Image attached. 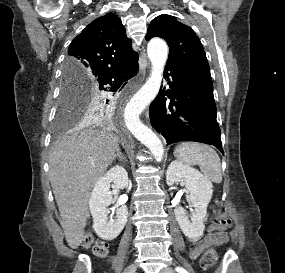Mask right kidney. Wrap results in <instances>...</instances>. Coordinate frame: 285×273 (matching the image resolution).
I'll list each match as a JSON object with an SVG mask.
<instances>
[{
	"mask_svg": "<svg viewBox=\"0 0 285 273\" xmlns=\"http://www.w3.org/2000/svg\"><path fill=\"white\" fill-rule=\"evenodd\" d=\"M111 182L120 189L127 187L128 174L126 170L121 166L111 168L97 180L89 199L93 229L100 238L105 240L115 239L124 229L128 217V209L125 205L116 208L114 219L108 217L107 207L115 202L109 191Z\"/></svg>",
	"mask_w": 285,
	"mask_h": 273,
	"instance_id": "obj_1",
	"label": "right kidney"
}]
</instances>
